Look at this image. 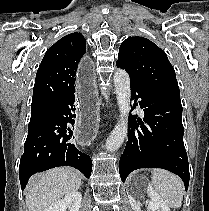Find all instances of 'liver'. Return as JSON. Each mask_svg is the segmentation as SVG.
Segmentation results:
<instances>
[{"label":"liver","mask_w":209,"mask_h":211,"mask_svg":"<svg viewBox=\"0 0 209 211\" xmlns=\"http://www.w3.org/2000/svg\"><path fill=\"white\" fill-rule=\"evenodd\" d=\"M80 186L81 178L73 168L58 167L35 174L28 183V211H46L63 196L76 192Z\"/></svg>","instance_id":"obj_1"}]
</instances>
